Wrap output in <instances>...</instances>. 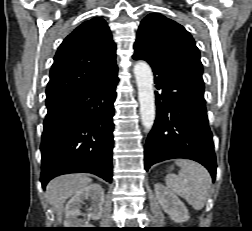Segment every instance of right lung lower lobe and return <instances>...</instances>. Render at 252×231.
Here are the masks:
<instances>
[{
    "instance_id": "98d812e1",
    "label": "right lung lower lobe",
    "mask_w": 252,
    "mask_h": 231,
    "mask_svg": "<svg viewBox=\"0 0 252 231\" xmlns=\"http://www.w3.org/2000/svg\"><path fill=\"white\" fill-rule=\"evenodd\" d=\"M118 77L93 84L47 107L41 140V183L87 172L112 179L114 115Z\"/></svg>"
}]
</instances>
